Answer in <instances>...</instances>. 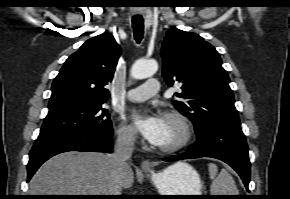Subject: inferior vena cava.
<instances>
[{
  "label": "inferior vena cava",
  "instance_id": "inferior-vena-cava-1",
  "mask_svg": "<svg viewBox=\"0 0 290 199\" xmlns=\"http://www.w3.org/2000/svg\"><path fill=\"white\" fill-rule=\"evenodd\" d=\"M135 133L132 130L118 132L117 140L114 146V152L111 154L114 164L112 186L109 195H122L124 174L128 168L127 159L132 156L134 150Z\"/></svg>",
  "mask_w": 290,
  "mask_h": 199
}]
</instances>
